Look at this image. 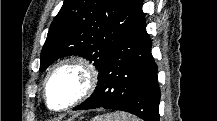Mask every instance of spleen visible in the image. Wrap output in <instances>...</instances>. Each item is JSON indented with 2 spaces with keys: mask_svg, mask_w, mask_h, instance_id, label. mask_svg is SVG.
Segmentation results:
<instances>
[{
  "mask_svg": "<svg viewBox=\"0 0 217 121\" xmlns=\"http://www.w3.org/2000/svg\"><path fill=\"white\" fill-rule=\"evenodd\" d=\"M93 121H137L136 118L131 117L127 113L115 112L106 115L97 116Z\"/></svg>",
  "mask_w": 217,
  "mask_h": 121,
  "instance_id": "obj_1",
  "label": "spleen"
}]
</instances>
